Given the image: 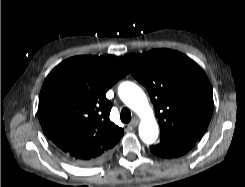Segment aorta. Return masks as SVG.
<instances>
[{
  "label": "aorta",
  "instance_id": "762f6f07",
  "mask_svg": "<svg viewBox=\"0 0 245 187\" xmlns=\"http://www.w3.org/2000/svg\"><path fill=\"white\" fill-rule=\"evenodd\" d=\"M118 94L121 100L140 116L139 136L142 141L147 144L154 143L158 137V124L145 93L133 82L126 81L120 84Z\"/></svg>",
  "mask_w": 245,
  "mask_h": 187
}]
</instances>
